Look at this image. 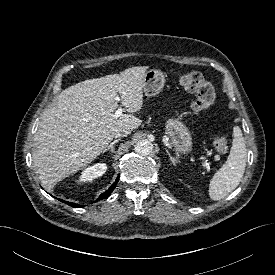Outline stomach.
Wrapping results in <instances>:
<instances>
[{"label":"stomach","mask_w":275,"mask_h":275,"mask_svg":"<svg viewBox=\"0 0 275 275\" xmlns=\"http://www.w3.org/2000/svg\"><path fill=\"white\" fill-rule=\"evenodd\" d=\"M165 84V76L160 70L150 69L145 73L143 92L152 97L161 92ZM167 135L176 156L186 155L192 151V137L188 128L178 119L169 118L165 122Z\"/></svg>","instance_id":"1"}]
</instances>
